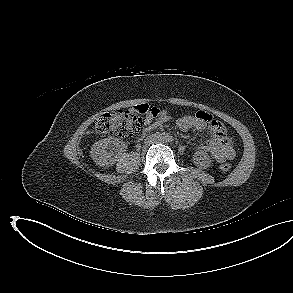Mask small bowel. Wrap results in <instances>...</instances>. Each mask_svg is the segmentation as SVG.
Here are the masks:
<instances>
[{"mask_svg": "<svg viewBox=\"0 0 293 293\" xmlns=\"http://www.w3.org/2000/svg\"><path fill=\"white\" fill-rule=\"evenodd\" d=\"M134 110L145 115V125L147 126L145 131L161 125L170 118L165 110L149 104H140L134 107ZM200 114L205 115L207 118L200 117ZM177 126L182 131H188L191 128L208 130L210 137L200 143L198 149L209 152L217 162H224L234 158L235 150L232 139L227 135L224 126L213 119L210 114L199 111L195 116L185 115L177 120Z\"/></svg>", "mask_w": 293, "mask_h": 293, "instance_id": "small-bowel-1", "label": "small bowel"}]
</instances>
